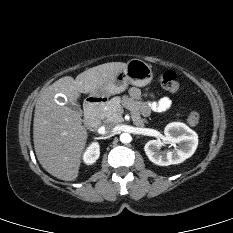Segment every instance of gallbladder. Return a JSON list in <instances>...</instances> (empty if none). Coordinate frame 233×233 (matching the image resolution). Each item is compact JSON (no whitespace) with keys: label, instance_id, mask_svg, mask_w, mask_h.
Segmentation results:
<instances>
[{"label":"gallbladder","instance_id":"obj_1","mask_svg":"<svg viewBox=\"0 0 233 233\" xmlns=\"http://www.w3.org/2000/svg\"><path fill=\"white\" fill-rule=\"evenodd\" d=\"M69 106H70L74 111L78 112L80 115L82 114V110H81V108H80L79 105H77V104H74V105L69 104Z\"/></svg>","mask_w":233,"mask_h":233}]
</instances>
